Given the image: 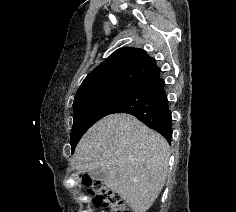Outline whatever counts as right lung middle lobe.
Wrapping results in <instances>:
<instances>
[{"mask_svg":"<svg viewBox=\"0 0 236 212\" xmlns=\"http://www.w3.org/2000/svg\"><path fill=\"white\" fill-rule=\"evenodd\" d=\"M131 91L132 89H119L74 101V122L70 140L72 152L83 134L99 119L112 114Z\"/></svg>","mask_w":236,"mask_h":212,"instance_id":"1","label":"right lung middle lobe"}]
</instances>
